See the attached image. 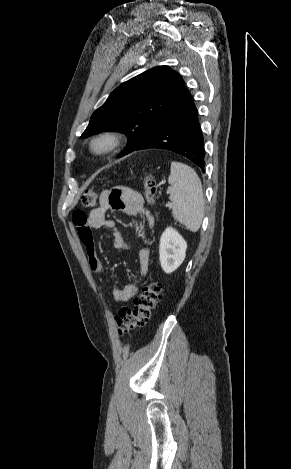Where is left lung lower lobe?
<instances>
[{
    "label": "left lung lower lobe",
    "instance_id": "0a47b994",
    "mask_svg": "<svg viewBox=\"0 0 291 469\" xmlns=\"http://www.w3.org/2000/svg\"><path fill=\"white\" fill-rule=\"evenodd\" d=\"M148 148L176 152L194 162L204 172V139L198 111L189 91L144 140L128 153Z\"/></svg>",
    "mask_w": 291,
    "mask_h": 469
}]
</instances>
